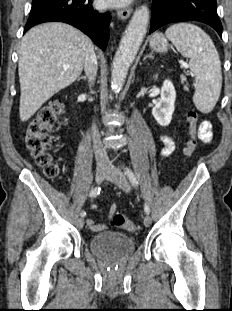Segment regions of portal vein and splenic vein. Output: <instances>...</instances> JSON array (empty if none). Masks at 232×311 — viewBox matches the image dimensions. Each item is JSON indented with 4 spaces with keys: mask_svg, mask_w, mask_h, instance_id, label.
I'll return each mask as SVG.
<instances>
[{
    "mask_svg": "<svg viewBox=\"0 0 232 311\" xmlns=\"http://www.w3.org/2000/svg\"><path fill=\"white\" fill-rule=\"evenodd\" d=\"M63 68H64V69H68L69 66H68V65H64Z\"/></svg>",
    "mask_w": 232,
    "mask_h": 311,
    "instance_id": "18ae733b",
    "label": "portal vein and splenic vein"
}]
</instances>
